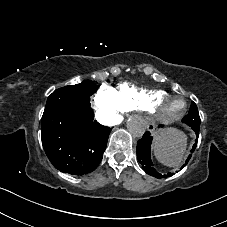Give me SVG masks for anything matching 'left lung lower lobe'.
Wrapping results in <instances>:
<instances>
[{
  "label": "left lung lower lobe",
  "instance_id": "1",
  "mask_svg": "<svg viewBox=\"0 0 227 227\" xmlns=\"http://www.w3.org/2000/svg\"><path fill=\"white\" fill-rule=\"evenodd\" d=\"M190 127L195 131L197 139L195 144L193 145L191 154L187 158L186 163L182 166V168L185 167V165L190 160L192 153L194 152L197 146V141L199 136V127L197 126H190ZM151 143H152V137L150 135V132H145L143 137L137 142L136 151H137V159L139 163L143 166V169L153 177L164 178V177L172 176L171 173L167 175H162L159 172H157L156 169L153 167L152 160H151Z\"/></svg>",
  "mask_w": 227,
  "mask_h": 227
}]
</instances>
